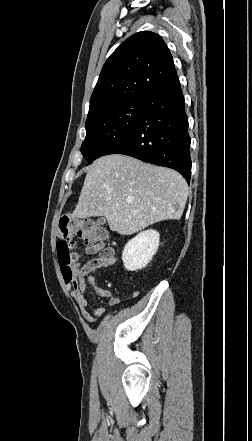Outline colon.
<instances>
[{
  "mask_svg": "<svg viewBox=\"0 0 252 441\" xmlns=\"http://www.w3.org/2000/svg\"><path fill=\"white\" fill-rule=\"evenodd\" d=\"M74 235L84 241L90 252L101 251L107 240L105 230L93 220L77 219L70 214H64L60 218L56 249L62 275L67 282L75 280L78 276L75 269L76 255L72 252L75 248L74 242L70 241Z\"/></svg>",
  "mask_w": 252,
  "mask_h": 441,
  "instance_id": "obj_1",
  "label": "colon"
}]
</instances>
